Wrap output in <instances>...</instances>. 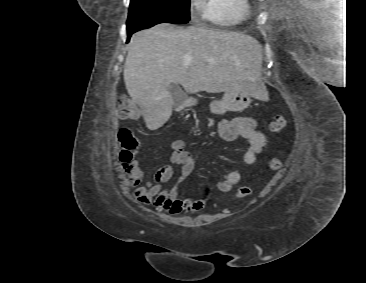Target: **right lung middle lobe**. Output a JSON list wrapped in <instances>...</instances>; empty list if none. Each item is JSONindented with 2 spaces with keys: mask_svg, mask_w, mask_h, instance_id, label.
<instances>
[{
  "mask_svg": "<svg viewBox=\"0 0 366 283\" xmlns=\"http://www.w3.org/2000/svg\"><path fill=\"white\" fill-rule=\"evenodd\" d=\"M190 0H131L127 31L136 32L159 23H187Z\"/></svg>",
  "mask_w": 366,
  "mask_h": 283,
  "instance_id": "dd1d6c3e",
  "label": "right lung middle lobe"
}]
</instances>
